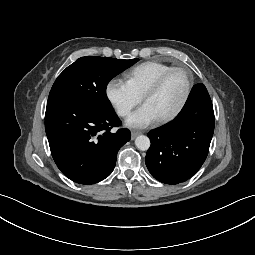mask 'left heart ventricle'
<instances>
[{
  "label": "left heart ventricle",
  "mask_w": 255,
  "mask_h": 255,
  "mask_svg": "<svg viewBox=\"0 0 255 255\" xmlns=\"http://www.w3.org/2000/svg\"><path fill=\"white\" fill-rule=\"evenodd\" d=\"M187 87V79L183 72H173L164 82L161 89L147 99L161 118L173 112L180 104Z\"/></svg>",
  "instance_id": "obj_1"
}]
</instances>
